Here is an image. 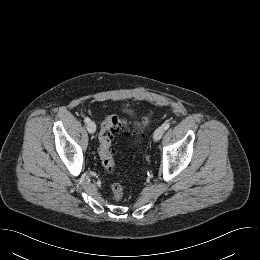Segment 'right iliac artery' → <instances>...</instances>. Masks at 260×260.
<instances>
[{"label":"right iliac artery","instance_id":"right-iliac-artery-1","mask_svg":"<svg viewBox=\"0 0 260 260\" xmlns=\"http://www.w3.org/2000/svg\"><path fill=\"white\" fill-rule=\"evenodd\" d=\"M84 121H85L86 123H88V122L90 121V119H89L88 117H85Z\"/></svg>","mask_w":260,"mask_h":260}]
</instances>
